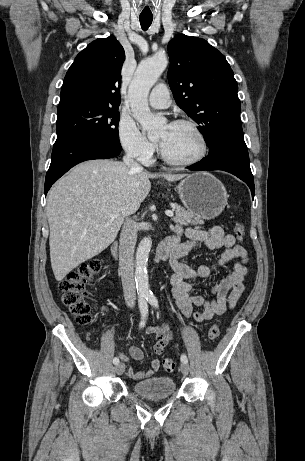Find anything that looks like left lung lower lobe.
<instances>
[{"label": "left lung lower lobe", "instance_id": "0a47b994", "mask_svg": "<svg viewBox=\"0 0 305 461\" xmlns=\"http://www.w3.org/2000/svg\"><path fill=\"white\" fill-rule=\"evenodd\" d=\"M190 170H223L243 180L254 197L255 187L249 155L241 126L225 129L217 138L213 152L207 158L187 167Z\"/></svg>", "mask_w": 305, "mask_h": 461}]
</instances>
